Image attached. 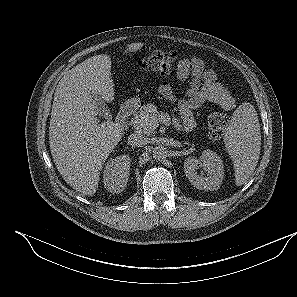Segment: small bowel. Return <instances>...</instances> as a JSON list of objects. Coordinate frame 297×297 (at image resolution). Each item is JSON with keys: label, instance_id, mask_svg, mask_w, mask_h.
Returning a JSON list of instances; mask_svg holds the SVG:
<instances>
[{"label": "small bowel", "instance_id": "obj_1", "mask_svg": "<svg viewBox=\"0 0 297 297\" xmlns=\"http://www.w3.org/2000/svg\"><path fill=\"white\" fill-rule=\"evenodd\" d=\"M176 80L189 81L187 95L178 98L170 84L163 82L159 86L162 97L177 102L182 120V128L191 130L195 126L194 110L210 103L226 111L235 108V100L229 91L217 80L215 72L208 68L199 57H180L176 67Z\"/></svg>", "mask_w": 297, "mask_h": 297}]
</instances>
